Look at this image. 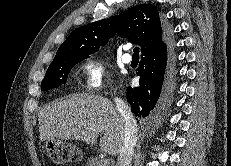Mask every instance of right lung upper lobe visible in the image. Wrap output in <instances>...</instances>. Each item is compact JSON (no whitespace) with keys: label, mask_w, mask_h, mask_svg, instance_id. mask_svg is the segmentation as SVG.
Returning a JSON list of instances; mask_svg holds the SVG:
<instances>
[{"label":"right lung upper lobe","mask_w":231,"mask_h":166,"mask_svg":"<svg viewBox=\"0 0 231 166\" xmlns=\"http://www.w3.org/2000/svg\"><path fill=\"white\" fill-rule=\"evenodd\" d=\"M141 46V56L159 48L168 37L167 25L153 5L134 6L112 16L75 29L57 50L53 61L67 56H84L105 46L115 34Z\"/></svg>","instance_id":"1"}]
</instances>
